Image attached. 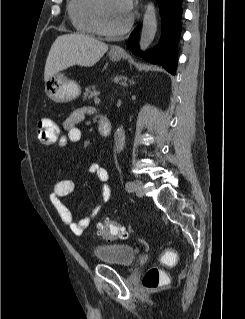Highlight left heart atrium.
Instances as JSON below:
<instances>
[{"label":"left heart atrium","mask_w":245,"mask_h":319,"mask_svg":"<svg viewBox=\"0 0 245 319\" xmlns=\"http://www.w3.org/2000/svg\"><path fill=\"white\" fill-rule=\"evenodd\" d=\"M119 9L126 15H130L134 2L133 0H116Z\"/></svg>","instance_id":"obj_1"}]
</instances>
